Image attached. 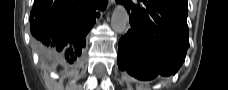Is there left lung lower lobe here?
Masks as SVG:
<instances>
[{
    "label": "left lung lower lobe",
    "instance_id": "1",
    "mask_svg": "<svg viewBox=\"0 0 228 90\" xmlns=\"http://www.w3.org/2000/svg\"><path fill=\"white\" fill-rule=\"evenodd\" d=\"M130 13L131 29L118 46V66L150 80L175 74L189 47L187 0H119ZM188 7V6H187Z\"/></svg>",
    "mask_w": 228,
    "mask_h": 90
}]
</instances>
